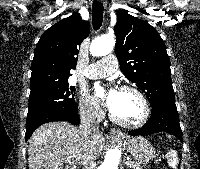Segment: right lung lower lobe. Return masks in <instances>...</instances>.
I'll list each match as a JSON object with an SVG mask.
<instances>
[{"instance_id":"right-lung-lower-lobe-1","label":"right lung lower lobe","mask_w":200,"mask_h":169,"mask_svg":"<svg viewBox=\"0 0 200 169\" xmlns=\"http://www.w3.org/2000/svg\"><path fill=\"white\" fill-rule=\"evenodd\" d=\"M52 121H68L74 125L80 122L77 106L73 109L64 110L57 108H40L28 111L26 120V141L32 132L40 125Z\"/></svg>"}]
</instances>
